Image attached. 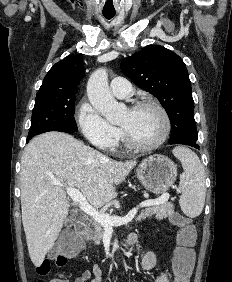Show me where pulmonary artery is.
<instances>
[{
    "instance_id": "pulmonary-artery-1",
    "label": "pulmonary artery",
    "mask_w": 232,
    "mask_h": 282,
    "mask_svg": "<svg viewBox=\"0 0 232 282\" xmlns=\"http://www.w3.org/2000/svg\"><path fill=\"white\" fill-rule=\"evenodd\" d=\"M110 89L117 98H126L131 95L132 86L130 82L123 77H116L110 83Z\"/></svg>"
}]
</instances>
